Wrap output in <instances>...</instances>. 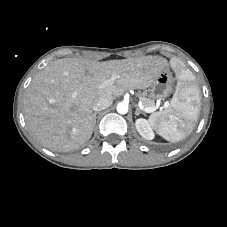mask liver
Segmentation results:
<instances>
[{"label":"liver","mask_w":227,"mask_h":227,"mask_svg":"<svg viewBox=\"0 0 227 227\" xmlns=\"http://www.w3.org/2000/svg\"><path fill=\"white\" fill-rule=\"evenodd\" d=\"M169 68L158 56L97 62L63 58L41 70L23 98L26 126L46 148L68 152L92 136L93 106L104 95L122 96L130 89H145ZM114 77V83L103 84Z\"/></svg>","instance_id":"6515ba94"}]
</instances>
